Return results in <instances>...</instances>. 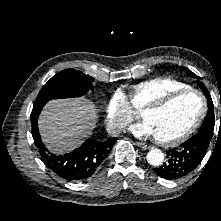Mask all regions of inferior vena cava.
I'll list each match as a JSON object with an SVG mask.
<instances>
[{"label":"inferior vena cava","mask_w":221,"mask_h":221,"mask_svg":"<svg viewBox=\"0 0 221 221\" xmlns=\"http://www.w3.org/2000/svg\"><path fill=\"white\" fill-rule=\"evenodd\" d=\"M108 133L112 136H117L120 133L119 127H114L108 131Z\"/></svg>","instance_id":"1"}]
</instances>
